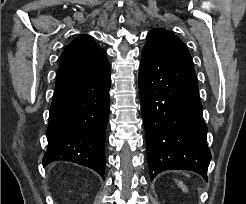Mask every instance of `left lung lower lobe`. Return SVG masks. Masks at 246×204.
Masks as SVG:
<instances>
[{"label": "left lung lower lobe", "instance_id": "1", "mask_svg": "<svg viewBox=\"0 0 246 204\" xmlns=\"http://www.w3.org/2000/svg\"><path fill=\"white\" fill-rule=\"evenodd\" d=\"M138 83L151 180L179 169L207 181L211 153L194 68L143 49Z\"/></svg>", "mask_w": 246, "mask_h": 204}]
</instances>
